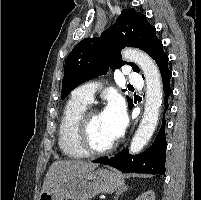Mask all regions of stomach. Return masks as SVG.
Returning <instances> with one entry per match:
<instances>
[{
    "label": "stomach",
    "instance_id": "0dacf381",
    "mask_svg": "<svg viewBox=\"0 0 201 200\" xmlns=\"http://www.w3.org/2000/svg\"><path fill=\"white\" fill-rule=\"evenodd\" d=\"M124 184L120 174L98 169L74 174L41 193L38 200H89L101 193H112Z\"/></svg>",
    "mask_w": 201,
    "mask_h": 200
}]
</instances>
